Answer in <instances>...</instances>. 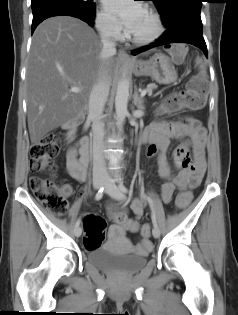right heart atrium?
Here are the masks:
<instances>
[{"label":"right heart atrium","mask_w":238,"mask_h":315,"mask_svg":"<svg viewBox=\"0 0 238 315\" xmlns=\"http://www.w3.org/2000/svg\"><path fill=\"white\" fill-rule=\"evenodd\" d=\"M96 27L101 35L108 39H116L121 34V28L116 20L107 12L101 10L96 15Z\"/></svg>","instance_id":"d8ad5b80"}]
</instances>
